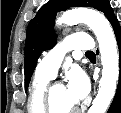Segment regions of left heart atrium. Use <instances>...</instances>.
Here are the masks:
<instances>
[{"label":"left heart atrium","instance_id":"left-heart-atrium-1","mask_svg":"<svg viewBox=\"0 0 121 113\" xmlns=\"http://www.w3.org/2000/svg\"><path fill=\"white\" fill-rule=\"evenodd\" d=\"M67 90L75 103L80 102L89 92V81L86 75L79 69L70 72L68 76Z\"/></svg>","mask_w":121,"mask_h":113}]
</instances>
